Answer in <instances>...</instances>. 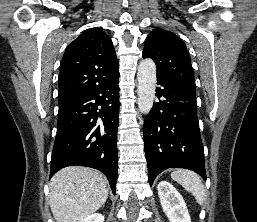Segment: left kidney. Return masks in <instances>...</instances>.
<instances>
[{
    "label": "left kidney",
    "instance_id": "obj_1",
    "mask_svg": "<svg viewBox=\"0 0 257 222\" xmlns=\"http://www.w3.org/2000/svg\"><path fill=\"white\" fill-rule=\"evenodd\" d=\"M157 189L163 211L170 222H191L183 197L171 183L161 181Z\"/></svg>",
    "mask_w": 257,
    "mask_h": 222
}]
</instances>
